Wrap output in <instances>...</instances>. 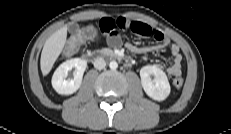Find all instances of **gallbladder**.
I'll return each instance as SVG.
<instances>
[{
  "label": "gallbladder",
  "instance_id": "bac80fb5",
  "mask_svg": "<svg viewBox=\"0 0 231 134\" xmlns=\"http://www.w3.org/2000/svg\"><path fill=\"white\" fill-rule=\"evenodd\" d=\"M79 28V25L77 23H73L69 26L70 32H76Z\"/></svg>",
  "mask_w": 231,
  "mask_h": 134
}]
</instances>
